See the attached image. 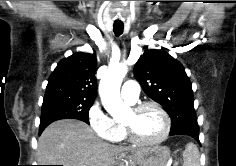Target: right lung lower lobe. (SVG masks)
I'll list each match as a JSON object with an SVG mask.
<instances>
[{"mask_svg":"<svg viewBox=\"0 0 236 166\" xmlns=\"http://www.w3.org/2000/svg\"><path fill=\"white\" fill-rule=\"evenodd\" d=\"M44 129H45V127H40L39 133H41Z\"/></svg>","mask_w":236,"mask_h":166,"instance_id":"obj_1","label":"right lung lower lobe"}]
</instances>
